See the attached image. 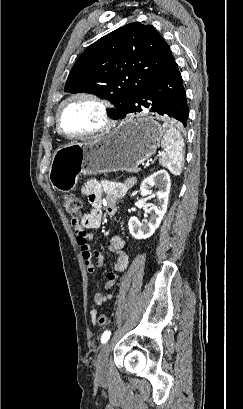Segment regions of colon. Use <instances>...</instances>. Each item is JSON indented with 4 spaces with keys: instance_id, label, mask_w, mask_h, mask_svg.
<instances>
[{
    "instance_id": "1",
    "label": "colon",
    "mask_w": 243,
    "mask_h": 409,
    "mask_svg": "<svg viewBox=\"0 0 243 409\" xmlns=\"http://www.w3.org/2000/svg\"><path fill=\"white\" fill-rule=\"evenodd\" d=\"M63 201L67 213L72 216L73 220H78L81 215V200L73 195H65ZM76 232L80 235L85 234V230L81 226H77ZM96 320L100 326H105L107 324V316L103 313H99Z\"/></svg>"
}]
</instances>
